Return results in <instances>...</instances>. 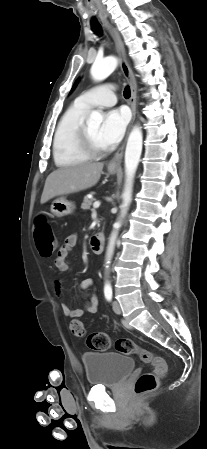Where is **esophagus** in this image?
Instances as JSON below:
<instances>
[{
  "label": "esophagus",
  "instance_id": "obj_1",
  "mask_svg": "<svg viewBox=\"0 0 207 449\" xmlns=\"http://www.w3.org/2000/svg\"><path fill=\"white\" fill-rule=\"evenodd\" d=\"M106 28L108 29L109 33L111 34V36L115 42L116 50H117V53H118V56L120 59V67H121L122 73H123L124 77L126 78V80L128 81L130 88H131L130 106H131V110H132V121H131V124H132L133 120L135 118V112H136L137 82H136L134 74L127 62L125 47H124L123 41H122L118 31L111 25H106ZM131 124H130V126H131ZM124 146H125V143L119 148V150L115 153L114 157L110 160V162L108 163L109 168H117L120 166L121 160L123 157Z\"/></svg>",
  "mask_w": 207,
  "mask_h": 449
}]
</instances>
